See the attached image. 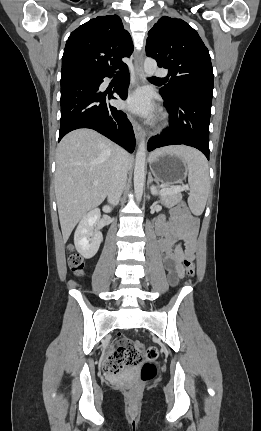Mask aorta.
Wrapping results in <instances>:
<instances>
[{
    "instance_id": "1",
    "label": "aorta",
    "mask_w": 261,
    "mask_h": 431,
    "mask_svg": "<svg viewBox=\"0 0 261 431\" xmlns=\"http://www.w3.org/2000/svg\"><path fill=\"white\" fill-rule=\"evenodd\" d=\"M157 69V63L152 58H146L144 62V71L147 76L152 77ZM145 160H146V143L144 138L141 139L135 159L134 168V191L136 199L140 202L143 194L145 180Z\"/></svg>"
}]
</instances>
